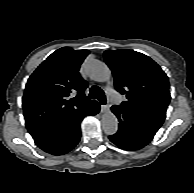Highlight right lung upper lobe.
<instances>
[{
  "label": "right lung upper lobe",
  "instance_id": "right-lung-upper-lobe-1",
  "mask_svg": "<svg viewBox=\"0 0 194 193\" xmlns=\"http://www.w3.org/2000/svg\"><path fill=\"white\" fill-rule=\"evenodd\" d=\"M88 54L60 48L30 76L23 96L28 130L60 121L95 102L85 96L87 83L78 72Z\"/></svg>",
  "mask_w": 194,
  "mask_h": 193
}]
</instances>
